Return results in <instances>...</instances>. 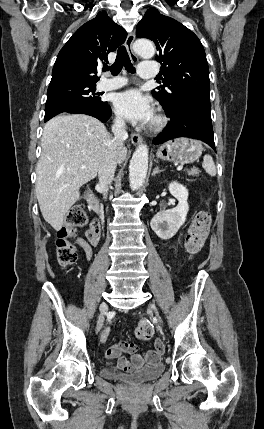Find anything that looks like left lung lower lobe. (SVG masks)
Segmentation results:
<instances>
[{
  "mask_svg": "<svg viewBox=\"0 0 264 429\" xmlns=\"http://www.w3.org/2000/svg\"><path fill=\"white\" fill-rule=\"evenodd\" d=\"M165 110V109H164ZM171 119L166 129L157 136L154 144L177 137H189L206 142L215 151L210 113V100L182 97L177 106L165 110Z\"/></svg>",
  "mask_w": 264,
  "mask_h": 429,
  "instance_id": "0a47b994",
  "label": "left lung lower lobe"
}]
</instances>
